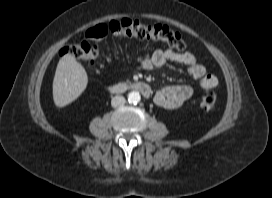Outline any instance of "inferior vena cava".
<instances>
[{
	"label": "inferior vena cava",
	"instance_id": "inferior-vena-cava-1",
	"mask_svg": "<svg viewBox=\"0 0 272 198\" xmlns=\"http://www.w3.org/2000/svg\"><path fill=\"white\" fill-rule=\"evenodd\" d=\"M125 102L126 100L123 96L117 95L112 98L111 105L112 107L116 108V107L124 105Z\"/></svg>",
	"mask_w": 272,
	"mask_h": 198
}]
</instances>
